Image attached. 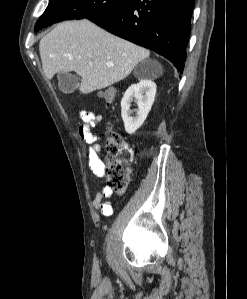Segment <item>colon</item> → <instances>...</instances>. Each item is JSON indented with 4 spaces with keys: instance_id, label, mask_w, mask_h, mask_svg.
Masks as SVG:
<instances>
[{
    "instance_id": "colon-1",
    "label": "colon",
    "mask_w": 247,
    "mask_h": 299,
    "mask_svg": "<svg viewBox=\"0 0 247 299\" xmlns=\"http://www.w3.org/2000/svg\"><path fill=\"white\" fill-rule=\"evenodd\" d=\"M100 97L109 105L114 101L115 91L112 88L104 89L100 92ZM105 151L102 176L110 190L116 194H123L131 181L132 169L129 163L133 158V151L112 127L106 131Z\"/></svg>"
}]
</instances>
